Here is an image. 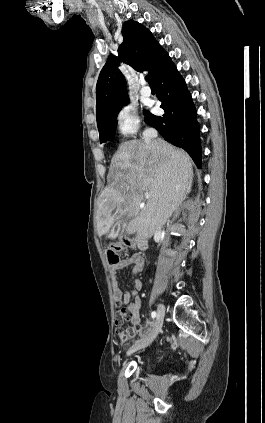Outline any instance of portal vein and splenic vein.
<instances>
[{"label":"portal vein and splenic vein","instance_id":"obj_1","mask_svg":"<svg viewBox=\"0 0 265 423\" xmlns=\"http://www.w3.org/2000/svg\"><path fill=\"white\" fill-rule=\"evenodd\" d=\"M145 197L149 198V193H145ZM141 207H143V206H141Z\"/></svg>","mask_w":265,"mask_h":423}]
</instances>
